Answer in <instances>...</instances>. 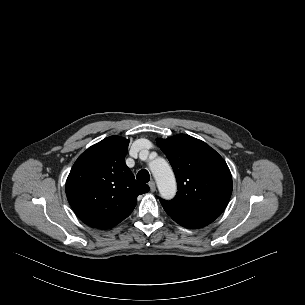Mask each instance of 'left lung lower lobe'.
<instances>
[{"label": "left lung lower lobe", "mask_w": 305, "mask_h": 305, "mask_svg": "<svg viewBox=\"0 0 305 305\" xmlns=\"http://www.w3.org/2000/svg\"><path fill=\"white\" fill-rule=\"evenodd\" d=\"M170 216L178 224L190 229L204 227L215 220L213 218H188V217H180L174 215H170Z\"/></svg>", "instance_id": "0a47b994"}]
</instances>
